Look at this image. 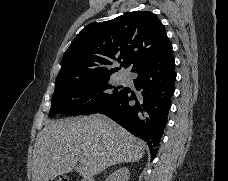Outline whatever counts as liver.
Listing matches in <instances>:
<instances>
[{"label": "liver", "mask_w": 228, "mask_h": 181, "mask_svg": "<svg viewBox=\"0 0 228 181\" xmlns=\"http://www.w3.org/2000/svg\"><path fill=\"white\" fill-rule=\"evenodd\" d=\"M145 143L105 115L49 121L38 133L33 149L32 181H52L75 169L91 181L112 165L136 163Z\"/></svg>", "instance_id": "1"}]
</instances>
